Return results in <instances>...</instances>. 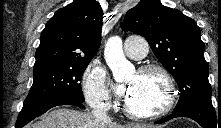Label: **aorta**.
Instances as JSON below:
<instances>
[{
    "mask_svg": "<svg viewBox=\"0 0 221 128\" xmlns=\"http://www.w3.org/2000/svg\"><path fill=\"white\" fill-rule=\"evenodd\" d=\"M104 56L116 81H122L127 74L134 71L133 64L124 56L122 39L120 37L113 36L107 40L104 48Z\"/></svg>",
    "mask_w": 221,
    "mask_h": 128,
    "instance_id": "762f6f07",
    "label": "aorta"
}]
</instances>
